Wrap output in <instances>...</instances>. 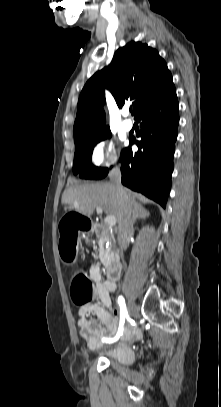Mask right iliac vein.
I'll use <instances>...</instances> for the list:
<instances>
[{"label":"right iliac vein","mask_w":221,"mask_h":407,"mask_svg":"<svg viewBox=\"0 0 221 407\" xmlns=\"http://www.w3.org/2000/svg\"><path fill=\"white\" fill-rule=\"evenodd\" d=\"M135 310H136V308H135L134 302L130 301V302L128 303V313H129V316H133V315L135 314Z\"/></svg>","instance_id":"63e3f726"}]
</instances>
